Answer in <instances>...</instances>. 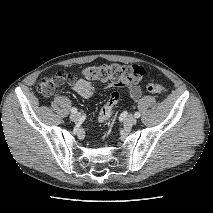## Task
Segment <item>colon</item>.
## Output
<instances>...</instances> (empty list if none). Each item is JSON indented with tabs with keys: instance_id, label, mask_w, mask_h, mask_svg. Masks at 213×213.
<instances>
[{
	"instance_id": "5ec220e1",
	"label": "colon",
	"mask_w": 213,
	"mask_h": 213,
	"mask_svg": "<svg viewBox=\"0 0 213 213\" xmlns=\"http://www.w3.org/2000/svg\"><path fill=\"white\" fill-rule=\"evenodd\" d=\"M82 76L89 81L109 82L120 86L127 85L134 87L146 77V72L144 68L138 64H102L86 67L82 71ZM74 79H76L74 75L60 71L51 78L43 79L40 84V89L45 88L50 82L70 83ZM147 89L153 93H160L164 92L166 87L161 84L150 83L148 84ZM118 101L119 93H111L100 112V119L102 121H109L113 117L115 106Z\"/></svg>"
}]
</instances>
